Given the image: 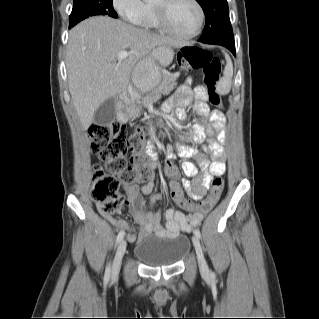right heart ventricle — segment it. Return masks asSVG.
Wrapping results in <instances>:
<instances>
[{
    "mask_svg": "<svg viewBox=\"0 0 319 319\" xmlns=\"http://www.w3.org/2000/svg\"><path fill=\"white\" fill-rule=\"evenodd\" d=\"M141 26L146 28H159L153 3L148 2L145 4V12L141 20Z\"/></svg>",
    "mask_w": 319,
    "mask_h": 319,
    "instance_id": "e07e8e85",
    "label": "right heart ventricle"
}]
</instances>
